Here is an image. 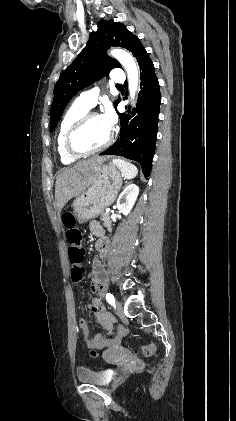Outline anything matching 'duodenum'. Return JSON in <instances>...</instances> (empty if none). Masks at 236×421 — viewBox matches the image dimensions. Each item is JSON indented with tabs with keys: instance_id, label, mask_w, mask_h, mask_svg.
I'll return each mask as SVG.
<instances>
[{
	"instance_id": "410a0bca",
	"label": "duodenum",
	"mask_w": 236,
	"mask_h": 421,
	"mask_svg": "<svg viewBox=\"0 0 236 421\" xmlns=\"http://www.w3.org/2000/svg\"><path fill=\"white\" fill-rule=\"evenodd\" d=\"M98 235L100 236V240L97 244V248L101 252V254H105L109 247V240L105 236H103V232H99ZM105 278H106V272L103 265L101 264L100 261H96L93 267V280H94V283L101 288V291H103L104 289L103 286L105 283ZM92 310L95 312H99V310L95 307H93ZM100 322L105 328L108 329L109 322L103 316L100 318ZM82 330L85 335L88 334L87 326H82ZM94 340L99 345L108 344L113 341L109 339H104L102 337L95 338Z\"/></svg>"
}]
</instances>
